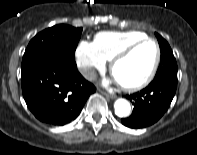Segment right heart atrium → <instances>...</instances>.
<instances>
[{"label": "right heart atrium", "instance_id": "obj_1", "mask_svg": "<svg viewBox=\"0 0 197 155\" xmlns=\"http://www.w3.org/2000/svg\"><path fill=\"white\" fill-rule=\"evenodd\" d=\"M76 61L81 74L90 79L96 70H102L106 65V59L99 52L94 42L82 40L75 51Z\"/></svg>", "mask_w": 197, "mask_h": 155}]
</instances>
